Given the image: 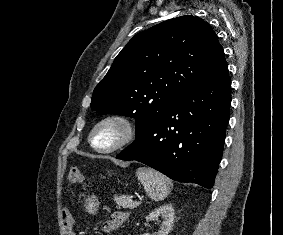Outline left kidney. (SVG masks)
<instances>
[{"label":"left kidney","instance_id":"1","mask_svg":"<svg viewBox=\"0 0 283 235\" xmlns=\"http://www.w3.org/2000/svg\"><path fill=\"white\" fill-rule=\"evenodd\" d=\"M161 217L162 223L158 230V232H155L153 235H168L170 232L173 221H174V209L171 204H166L163 206H160L159 208L152 211L147 217L146 220H155ZM143 235H149V234H143Z\"/></svg>","mask_w":283,"mask_h":235}]
</instances>
